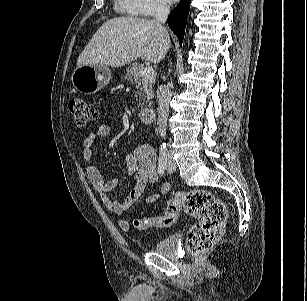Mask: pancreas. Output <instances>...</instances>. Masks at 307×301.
Instances as JSON below:
<instances>
[{"label":"pancreas","instance_id":"cf45deb5","mask_svg":"<svg viewBox=\"0 0 307 301\" xmlns=\"http://www.w3.org/2000/svg\"><path fill=\"white\" fill-rule=\"evenodd\" d=\"M143 69V64L133 63L126 69V74L124 76L125 80L131 85L135 86L138 95H136V100H138V106L143 107L144 104L151 105L154 92L152 86L155 83V78H145L142 76L141 71Z\"/></svg>","mask_w":307,"mask_h":301}]
</instances>
